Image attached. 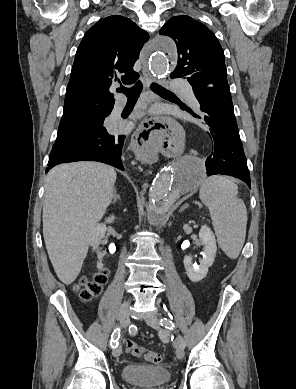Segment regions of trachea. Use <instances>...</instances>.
I'll list each match as a JSON object with an SVG mask.
<instances>
[{
  "label": "trachea",
  "instance_id": "3493384b",
  "mask_svg": "<svg viewBox=\"0 0 296 389\" xmlns=\"http://www.w3.org/2000/svg\"><path fill=\"white\" fill-rule=\"evenodd\" d=\"M142 88H143L142 83L138 81L131 88H125V87L119 88L118 92H122L123 94H125L128 100H137L140 96ZM150 88L153 92L159 95H173L172 92H170L169 90L165 89L164 87L156 83H152Z\"/></svg>",
  "mask_w": 296,
  "mask_h": 389
}]
</instances>
